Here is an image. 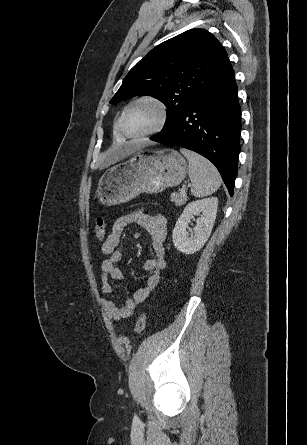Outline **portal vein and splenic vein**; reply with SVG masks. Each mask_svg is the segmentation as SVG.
<instances>
[{"label": "portal vein and splenic vein", "instance_id": "18ae733b", "mask_svg": "<svg viewBox=\"0 0 307 445\" xmlns=\"http://www.w3.org/2000/svg\"><path fill=\"white\" fill-rule=\"evenodd\" d=\"M186 184H183L182 186V192H185Z\"/></svg>", "mask_w": 307, "mask_h": 445}]
</instances>
